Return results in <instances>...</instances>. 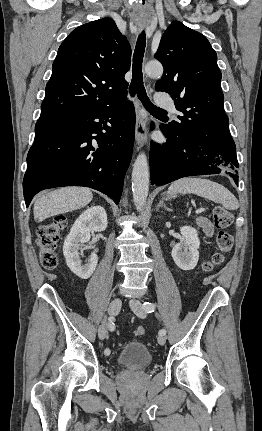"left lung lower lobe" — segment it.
<instances>
[{
    "label": "left lung lower lobe",
    "instance_id": "left-lung-lower-lobe-1",
    "mask_svg": "<svg viewBox=\"0 0 262 431\" xmlns=\"http://www.w3.org/2000/svg\"><path fill=\"white\" fill-rule=\"evenodd\" d=\"M160 129L167 140L162 145L151 142V184L162 186L183 177L219 173L228 174L238 183L236 147L230 136L216 147L176 137L165 125Z\"/></svg>",
    "mask_w": 262,
    "mask_h": 431
}]
</instances>
